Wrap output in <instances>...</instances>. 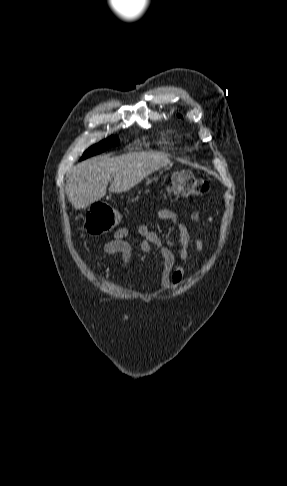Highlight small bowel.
I'll list each match as a JSON object with an SVG mask.
<instances>
[{
  "label": "small bowel",
  "mask_w": 287,
  "mask_h": 486,
  "mask_svg": "<svg viewBox=\"0 0 287 486\" xmlns=\"http://www.w3.org/2000/svg\"><path fill=\"white\" fill-rule=\"evenodd\" d=\"M157 217L161 220L170 222L178 230L180 242V265L175 266L176 256L173 251L166 245L161 236L147 225H140L133 233L127 228L116 230L112 239L103 245V252L107 255L119 254L122 259V266L125 268L132 257V246L128 241V238L135 237L137 239L138 247L143 253H148L151 251L152 247H156L163 259L161 284L163 288H168L170 286H177L182 282L185 274V264L189 259V247L191 242L193 241L197 253L203 251L204 244L200 238L190 233L178 213L168 209H161L157 212ZM191 217L193 221H198V211H194Z\"/></svg>",
  "instance_id": "obj_1"
}]
</instances>
